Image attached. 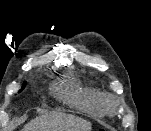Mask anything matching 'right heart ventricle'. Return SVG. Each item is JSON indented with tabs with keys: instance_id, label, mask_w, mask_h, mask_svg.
I'll return each instance as SVG.
<instances>
[{
	"instance_id": "right-heart-ventricle-1",
	"label": "right heart ventricle",
	"mask_w": 151,
	"mask_h": 131,
	"mask_svg": "<svg viewBox=\"0 0 151 131\" xmlns=\"http://www.w3.org/2000/svg\"><path fill=\"white\" fill-rule=\"evenodd\" d=\"M53 93L67 104L91 115L102 116L107 112L106 95L96 88L80 84L73 78L56 85Z\"/></svg>"
}]
</instances>
